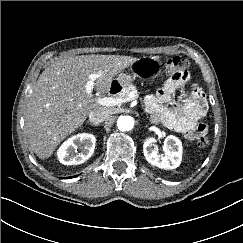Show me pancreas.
I'll return each mask as SVG.
<instances>
[{"label":"pancreas","instance_id":"1","mask_svg":"<svg viewBox=\"0 0 243 243\" xmlns=\"http://www.w3.org/2000/svg\"><path fill=\"white\" fill-rule=\"evenodd\" d=\"M131 92H136L137 93V89L133 85H128L115 98H119V99L124 100L125 98L128 97V95Z\"/></svg>","mask_w":243,"mask_h":243}]
</instances>
